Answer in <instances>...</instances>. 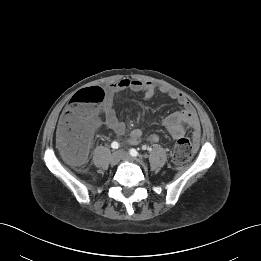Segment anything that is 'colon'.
Listing matches in <instances>:
<instances>
[{
	"mask_svg": "<svg viewBox=\"0 0 261 261\" xmlns=\"http://www.w3.org/2000/svg\"><path fill=\"white\" fill-rule=\"evenodd\" d=\"M105 93L100 87H89L73 95L68 110L59 126V145L63 156L72 164L84 163L89 149L90 118L104 101ZM194 154L192 142L182 136L177 138L172 159L177 165L187 163Z\"/></svg>",
	"mask_w": 261,
	"mask_h": 261,
	"instance_id": "obj_1",
	"label": "colon"
}]
</instances>
